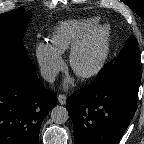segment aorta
Masks as SVG:
<instances>
[{
	"label": "aorta",
	"mask_w": 144,
	"mask_h": 144,
	"mask_svg": "<svg viewBox=\"0 0 144 144\" xmlns=\"http://www.w3.org/2000/svg\"><path fill=\"white\" fill-rule=\"evenodd\" d=\"M51 118L56 124H64L69 116L68 111L63 106H55L51 111Z\"/></svg>",
	"instance_id": "aorta-1"
}]
</instances>
